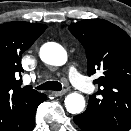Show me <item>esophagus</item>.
Returning <instances> with one entry per match:
<instances>
[{"label":"esophagus","mask_w":131,"mask_h":131,"mask_svg":"<svg viewBox=\"0 0 131 131\" xmlns=\"http://www.w3.org/2000/svg\"><path fill=\"white\" fill-rule=\"evenodd\" d=\"M66 93V90H62V91H53L52 95L58 97V96H62Z\"/></svg>","instance_id":"esophagus-1"}]
</instances>
